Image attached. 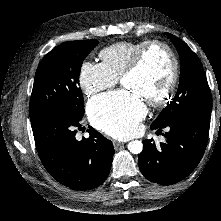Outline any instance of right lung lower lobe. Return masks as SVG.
<instances>
[{"instance_id":"obj_1","label":"right lung lower lobe","mask_w":221,"mask_h":221,"mask_svg":"<svg viewBox=\"0 0 221 221\" xmlns=\"http://www.w3.org/2000/svg\"><path fill=\"white\" fill-rule=\"evenodd\" d=\"M81 119L52 112L31 121L36 148L48 173L74 190H90L107 178L115 151L112 142L92 127L89 138L76 140Z\"/></svg>"}]
</instances>
